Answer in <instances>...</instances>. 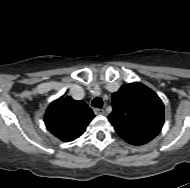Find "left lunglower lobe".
Returning a JSON list of instances; mask_svg holds the SVG:
<instances>
[{
	"label": "left lung lower lobe",
	"instance_id": "left-lung-lower-lobe-1",
	"mask_svg": "<svg viewBox=\"0 0 190 188\" xmlns=\"http://www.w3.org/2000/svg\"><path fill=\"white\" fill-rule=\"evenodd\" d=\"M115 130L122 139L133 145H143L154 138L152 135L135 133L127 129L115 128Z\"/></svg>",
	"mask_w": 190,
	"mask_h": 188
}]
</instances>
